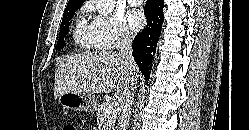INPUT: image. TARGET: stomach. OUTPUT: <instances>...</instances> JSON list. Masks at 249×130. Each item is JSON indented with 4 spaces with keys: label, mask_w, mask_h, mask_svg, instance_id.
<instances>
[{
    "label": "stomach",
    "mask_w": 249,
    "mask_h": 130,
    "mask_svg": "<svg viewBox=\"0 0 249 130\" xmlns=\"http://www.w3.org/2000/svg\"><path fill=\"white\" fill-rule=\"evenodd\" d=\"M58 102L67 110L93 112L97 108V99L92 94L67 92L59 96Z\"/></svg>",
    "instance_id": "obj_1"
}]
</instances>
